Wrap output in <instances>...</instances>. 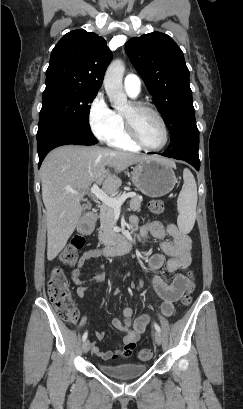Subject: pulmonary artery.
I'll return each mask as SVG.
<instances>
[{
	"label": "pulmonary artery",
	"mask_w": 243,
	"mask_h": 409,
	"mask_svg": "<svg viewBox=\"0 0 243 409\" xmlns=\"http://www.w3.org/2000/svg\"><path fill=\"white\" fill-rule=\"evenodd\" d=\"M123 85L125 91L132 96H138L141 92V80L136 74L126 75Z\"/></svg>",
	"instance_id": "e3ab8cb5"
}]
</instances>
